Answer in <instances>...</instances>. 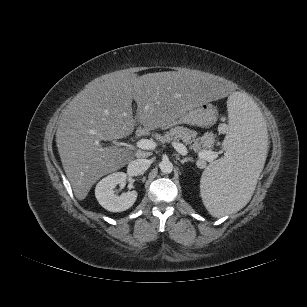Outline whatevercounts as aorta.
<instances>
[{"label": "aorta", "mask_w": 307, "mask_h": 307, "mask_svg": "<svg viewBox=\"0 0 307 307\" xmlns=\"http://www.w3.org/2000/svg\"><path fill=\"white\" fill-rule=\"evenodd\" d=\"M160 170L164 174H170L173 171V164L169 160H163L160 163Z\"/></svg>", "instance_id": "aorta-1"}]
</instances>
